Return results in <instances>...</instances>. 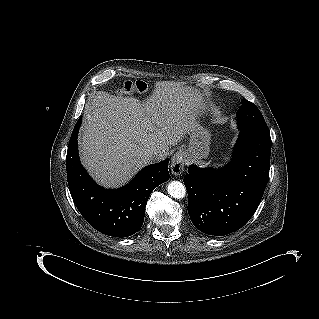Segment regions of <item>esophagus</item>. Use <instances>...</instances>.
I'll list each match as a JSON object with an SVG mask.
<instances>
[{
    "mask_svg": "<svg viewBox=\"0 0 319 319\" xmlns=\"http://www.w3.org/2000/svg\"><path fill=\"white\" fill-rule=\"evenodd\" d=\"M185 156L182 151H177L171 158L170 170L175 176L180 175L184 171Z\"/></svg>",
    "mask_w": 319,
    "mask_h": 319,
    "instance_id": "34e87169",
    "label": "esophagus"
}]
</instances>
